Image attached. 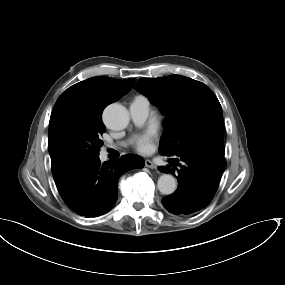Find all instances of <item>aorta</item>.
I'll list each match as a JSON object with an SVG mask.
<instances>
[{"instance_id":"1","label":"aorta","mask_w":285,"mask_h":285,"mask_svg":"<svg viewBox=\"0 0 285 285\" xmlns=\"http://www.w3.org/2000/svg\"><path fill=\"white\" fill-rule=\"evenodd\" d=\"M103 120L110 129L120 130L128 125L129 114L124 106L114 103L104 110ZM157 187L162 194L170 195L175 192L177 182L172 175L163 174L158 179Z\"/></svg>"}]
</instances>
